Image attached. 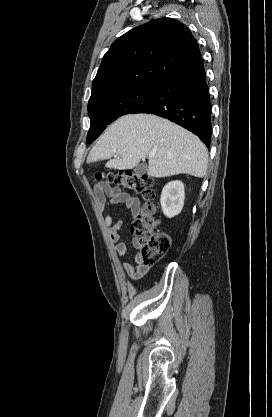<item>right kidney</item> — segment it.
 I'll list each match as a JSON object with an SVG mask.
<instances>
[{
  "mask_svg": "<svg viewBox=\"0 0 272 417\" xmlns=\"http://www.w3.org/2000/svg\"><path fill=\"white\" fill-rule=\"evenodd\" d=\"M185 199L184 184L181 181L167 183L161 193L160 203L164 215L172 218L178 215L183 208Z\"/></svg>",
  "mask_w": 272,
  "mask_h": 417,
  "instance_id": "right-kidney-1",
  "label": "right kidney"
}]
</instances>
